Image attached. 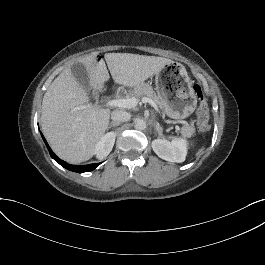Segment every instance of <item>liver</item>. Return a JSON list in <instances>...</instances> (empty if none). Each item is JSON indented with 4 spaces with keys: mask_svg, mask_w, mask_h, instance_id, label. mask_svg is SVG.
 <instances>
[{
    "mask_svg": "<svg viewBox=\"0 0 265 265\" xmlns=\"http://www.w3.org/2000/svg\"><path fill=\"white\" fill-rule=\"evenodd\" d=\"M104 59L115 84L135 88L173 61L129 53H106ZM88 79L81 85L71 66L65 68L48 87L42 100L41 127L53 151L63 160L78 164L91 159L109 130L110 109L80 108L91 95L104 91L110 80L102 59L87 55L80 59Z\"/></svg>",
    "mask_w": 265,
    "mask_h": 265,
    "instance_id": "6515ba94",
    "label": "liver"
}]
</instances>
